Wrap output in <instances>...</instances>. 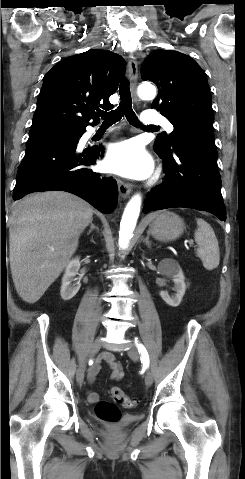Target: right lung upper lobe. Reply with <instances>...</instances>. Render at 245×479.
<instances>
[{"label": "right lung upper lobe", "instance_id": "right-lung-upper-lobe-1", "mask_svg": "<svg viewBox=\"0 0 245 479\" xmlns=\"http://www.w3.org/2000/svg\"><path fill=\"white\" fill-rule=\"evenodd\" d=\"M126 63L116 53L92 49L67 57L44 78L30 131L85 129L98 122V107L111 108L109 97L124 75Z\"/></svg>", "mask_w": 245, "mask_h": 479}]
</instances>
